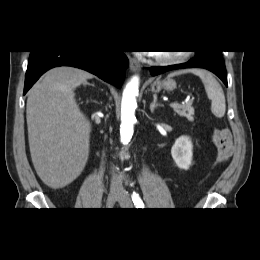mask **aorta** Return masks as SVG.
<instances>
[{
  "label": "aorta",
  "instance_id": "762f6f07",
  "mask_svg": "<svg viewBox=\"0 0 260 260\" xmlns=\"http://www.w3.org/2000/svg\"><path fill=\"white\" fill-rule=\"evenodd\" d=\"M139 91V77L133 76L127 83L121 101L120 136L123 144H128L134 132L136 96Z\"/></svg>",
  "mask_w": 260,
  "mask_h": 260
}]
</instances>
